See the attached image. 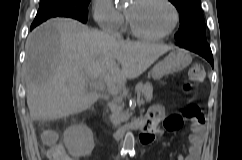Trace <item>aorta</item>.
<instances>
[{"label":"aorta","instance_id":"obj_1","mask_svg":"<svg viewBox=\"0 0 242 160\" xmlns=\"http://www.w3.org/2000/svg\"><path fill=\"white\" fill-rule=\"evenodd\" d=\"M135 146V138L132 132H127L123 142V149L130 151L133 150Z\"/></svg>","mask_w":242,"mask_h":160}]
</instances>
